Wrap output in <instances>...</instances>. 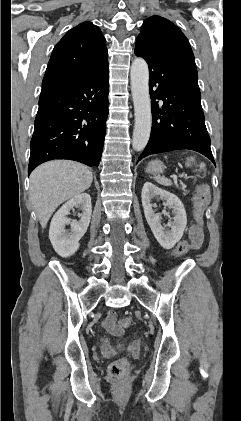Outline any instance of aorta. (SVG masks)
Instances as JSON below:
<instances>
[{"label": "aorta", "mask_w": 241, "mask_h": 421, "mask_svg": "<svg viewBox=\"0 0 241 421\" xmlns=\"http://www.w3.org/2000/svg\"><path fill=\"white\" fill-rule=\"evenodd\" d=\"M130 79L135 115L132 147L135 151H142L148 143L152 125L149 70L144 59L136 58L132 62Z\"/></svg>", "instance_id": "aorta-1"}]
</instances>
